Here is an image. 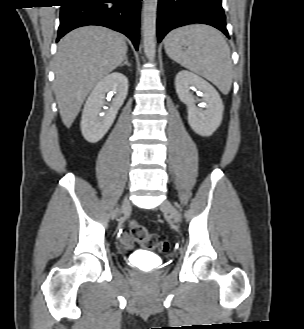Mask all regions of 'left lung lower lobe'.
I'll list each match as a JSON object with an SVG mask.
<instances>
[{
    "label": "left lung lower lobe",
    "mask_w": 304,
    "mask_h": 329,
    "mask_svg": "<svg viewBox=\"0 0 304 329\" xmlns=\"http://www.w3.org/2000/svg\"><path fill=\"white\" fill-rule=\"evenodd\" d=\"M193 23L211 25L229 36L221 0H158V42L172 29Z\"/></svg>",
    "instance_id": "0a47b994"
}]
</instances>
